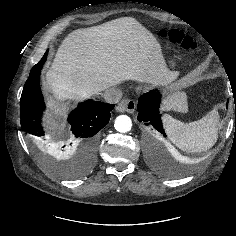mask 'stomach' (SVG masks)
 Segmentation results:
<instances>
[{
  "mask_svg": "<svg viewBox=\"0 0 236 236\" xmlns=\"http://www.w3.org/2000/svg\"><path fill=\"white\" fill-rule=\"evenodd\" d=\"M168 70L172 73H174L175 75V78L177 77L178 75V72L174 70L175 68V62H174V59L172 57H169V60H168Z\"/></svg>",
  "mask_w": 236,
  "mask_h": 236,
  "instance_id": "1",
  "label": "stomach"
}]
</instances>
